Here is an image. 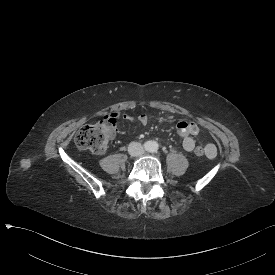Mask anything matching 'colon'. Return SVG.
I'll use <instances>...</instances> for the list:
<instances>
[{"label": "colon", "mask_w": 275, "mask_h": 275, "mask_svg": "<svg viewBox=\"0 0 275 275\" xmlns=\"http://www.w3.org/2000/svg\"><path fill=\"white\" fill-rule=\"evenodd\" d=\"M116 134V122L112 119L83 126L75 136V143L83 150L104 152ZM197 155H204L205 148L195 149Z\"/></svg>", "instance_id": "obj_1"}]
</instances>
